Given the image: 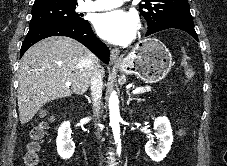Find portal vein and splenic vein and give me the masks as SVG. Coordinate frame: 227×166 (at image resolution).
Wrapping results in <instances>:
<instances>
[{
  "label": "portal vein and splenic vein",
  "mask_w": 227,
  "mask_h": 166,
  "mask_svg": "<svg viewBox=\"0 0 227 166\" xmlns=\"http://www.w3.org/2000/svg\"><path fill=\"white\" fill-rule=\"evenodd\" d=\"M65 85H66V86H71V82H66ZM142 91H143V89L139 87V88L134 89V90L132 91V93H133V94H139V93H141Z\"/></svg>",
  "instance_id": "portal-vein-and-splenic-vein-1"
}]
</instances>
